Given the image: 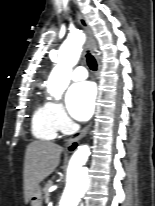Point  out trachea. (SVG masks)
<instances>
[{"instance_id":"trachea-1","label":"trachea","mask_w":155,"mask_h":206,"mask_svg":"<svg viewBox=\"0 0 155 206\" xmlns=\"http://www.w3.org/2000/svg\"><path fill=\"white\" fill-rule=\"evenodd\" d=\"M86 58H87V64L90 67V69L93 71H96L97 63H96L95 58L90 53L86 54Z\"/></svg>"}]
</instances>
